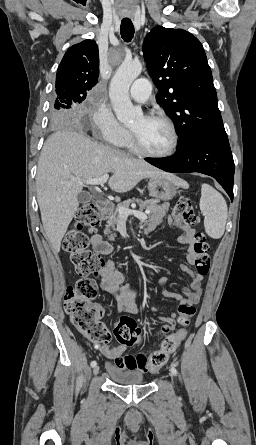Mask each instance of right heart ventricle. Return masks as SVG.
Here are the masks:
<instances>
[{"label": "right heart ventricle", "instance_id": "e07e8e85", "mask_svg": "<svg viewBox=\"0 0 256 445\" xmlns=\"http://www.w3.org/2000/svg\"><path fill=\"white\" fill-rule=\"evenodd\" d=\"M121 145H122L123 147L128 148L130 151H135V149H134V147H133V145H132L131 137H130V136H128V137L126 138V140H125Z\"/></svg>", "mask_w": 256, "mask_h": 445}]
</instances>
